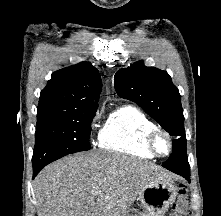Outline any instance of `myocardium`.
<instances>
[{"instance_id":"myocardium-1","label":"myocardium","mask_w":221,"mask_h":216,"mask_svg":"<svg viewBox=\"0 0 221 216\" xmlns=\"http://www.w3.org/2000/svg\"><path fill=\"white\" fill-rule=\"evenodd\" d=\"M163 138L167 144V151L161 152L158 148V139ZM145 147L153 154L159 157L169 155L173 149V142L170 134L160 127H153L145 133L144 136Z\"/></svg>"}]
</instances>
